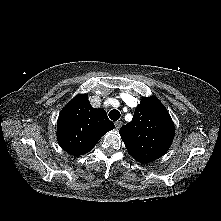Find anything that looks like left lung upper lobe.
<instances>
[{
  "instance_id": "left-lung-upper-lobe-1",
  "label": "left lung upper lobe",
  "mask_w": 221,
  "mask_h": 221,
  "mask_svg": "<svg viewBox=\"0 0 221 221\" xmlns=\"http://www.w3.org/2000/svg\"><path fill=\"white\" fill-rule=\"evenodd\" d=\"M129 154L140 163H149L164 155L174 134V124L156 97L143 98L133 119L119 131Z\"/></svg>"
}]
</instances>
